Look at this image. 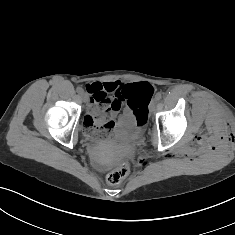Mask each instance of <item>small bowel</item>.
I'll use <instances>...</instances> for the list:
<instances>
[{"label": "small bowel", "mask_w": 235, "mask_h": 235, "mask_svg": "<svg viewBox=\"0 0 235 235\" xmlns=\"http://www.w3.org/2000/svg\"><path fill=\"white\" fill-rule=\"evenodd\" d=\"M136 83L125 84L120 81L115 82H94L87 85V90L91 94L88 106V116H94L102 110H108L111 120L101 130L104 134H110L115 128V118L121 109L124 90ZM125 118L131 117L130 110H125Z\"/></svg>", "instance_id": "small-bowel-1"}]
</instances>
